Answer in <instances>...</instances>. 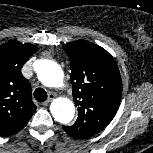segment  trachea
<instances>
[{
    "instance_id": "obj_1",
    "label": "trachea",
    "mask_w": 153,
    "mask_h": 153,
    "mask_svg": "<svg viewBox=\"0 0 153 153\" xmlns=\"http://www.w3.org/2000/svg\"><path fill=\"white\" fill-rule=\"evenodd\" d=\"M34 97L38 102H44L47 99V92L43 88H36Z\"/></svg>"
}]
</instances>
